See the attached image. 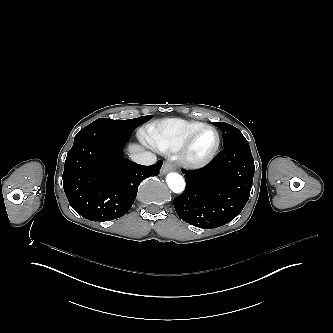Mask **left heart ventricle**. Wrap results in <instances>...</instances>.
I'll return each mask as SVG.
<instances>
[{
  "instance_id": "obj_1",
  "label": "left heart ventricle",
  "mask_w": 333,
  "mask_h": 333,
  "mask_svg": "<svg viewBox=\"0 0 333 333\" xmlns=\"http://www.w3.org/2000/svg\"><path fill=\"white\" fill-rule=\"evenodd\" d=\"M216 142L215 132L210 128L203 129L193 139L189 149L190 155L196 159L204 158L212 152Z\"/></svg>"
}]
</instances>
